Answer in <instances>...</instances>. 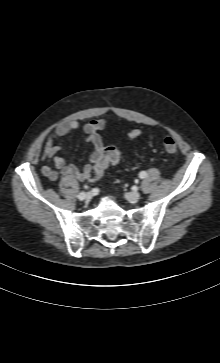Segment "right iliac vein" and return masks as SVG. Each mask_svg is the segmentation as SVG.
Here are the masks:
<instances>
[{"label": "right iliac vein", "mask_w": 220, "mask_h": 363, "mask_svg": "<svg viewBox=\"0 0 220 363\" xmlns=\"http://www.w3.org/2000/svg\"><path fill=\"white\" fill-rule=\"evenodd\" d=\"M91 198H92L91 193H86L83 200L89 201V200H91Z\"/></svg>", "instance_id": "right-iliac-vein-1"}]
</instances>
